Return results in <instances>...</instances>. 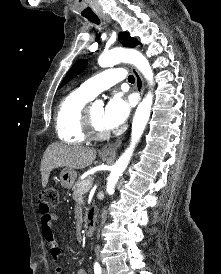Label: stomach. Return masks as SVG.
<instances>
[{
	"instance_id": "obj_1",
	"label": "stomach",
	"mask_w": 221,
	"mask_h": 274,
	"mask_svg": "<svg viewBox=\"0 0 221 274\" xmlns=\"http://www.w3.org/2000/svg\"><path fill=\"white\" fill-rule=\"evenodd\" d=\"M77 172L71 168H64L60 173L61 186L70 189L76 180Z\"/></svg>"
}]
</instances>
